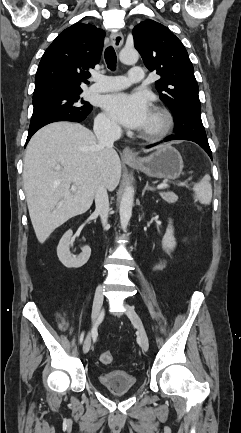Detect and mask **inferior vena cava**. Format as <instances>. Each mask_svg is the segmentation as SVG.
<instances>
[{
  "instance_id": "1",
  "label": "inferior vena cava",
  "mask_w": 241,
  "mask_h": 433,
  "mask_svg": "<svg viewBox=\"0 0 241 433\" xmlns=\"http://www.w3.org/2000/svg\"><path fill=\"white\" fill-rule=\"evenodd\" d=\"M93 130L99 145L102 147H113L114 141L118 140L121 136V128L108 121L95 123ZM95 205L96 212L99 213L102 225L106 229L109 213V199L107 189L102 183L98 184L95 191Z\"/></svg>"
}]
</instances>
